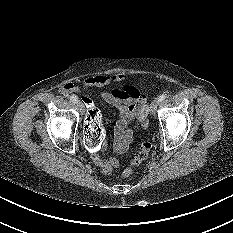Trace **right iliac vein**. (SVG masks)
Instances as JSON below:
<instances>
[{
	"label": "right iliac vein",
	"mask_w": 233,
	"mask_h": 233,
	"mask_svg": "<svg viewBox=\"0 0 233 233\" xmlns=\"http://www.w3.org/2000/svg\"><path fill=\"white\" fill-rule=\"evenodd\" d=\"M77 105L79 107V110H80L81 114H84V112H85L84 104L81 101H77Z\"/></svg>",
	"instance_id": "obj_1"
}]
</instances>
